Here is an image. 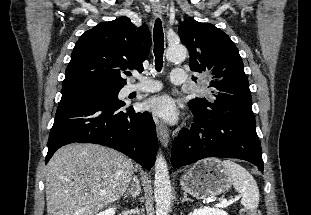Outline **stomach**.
<instances>
[{"label": "stomach", "instance_id": "stomach-1", "mask_svg": "<svg viewBox=\"0 0 311 215\" xmlns=\"http://www.w3.org/2000/svg\"><path fill=\"white\" fill-rule=\"evenodd\" d=\"M183 190L197 199H209L225 193L233 181L222 162L208 158L197 162L180 179Z\"/></svg>", "mask_w": 311, "mask_h": 215}]
</instances>
